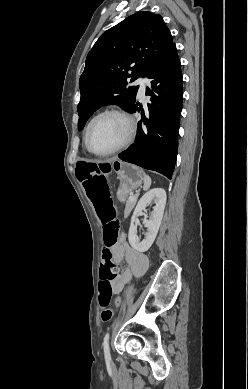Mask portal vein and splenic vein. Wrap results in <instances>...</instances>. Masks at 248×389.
<instances>
[{"mask_svg": "<svg viewBox=\"0 0 248 389\" xmlns=\"http://www.w3.org/2000/svg\"><path fill=\"white\" fill-rule=\"evenodd\" d=\"M138 196H135V195H133V194H131L130 196H129V199H134V198H137Z\"/></svg>", "mask_w": 248, "mask_h": 389, "instance_id": "portal-vein-and-splenic-vein-1", "label": "portal vein and splenic vein"}]
</instances>
